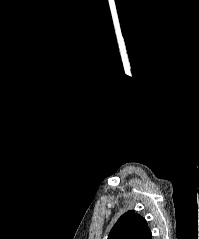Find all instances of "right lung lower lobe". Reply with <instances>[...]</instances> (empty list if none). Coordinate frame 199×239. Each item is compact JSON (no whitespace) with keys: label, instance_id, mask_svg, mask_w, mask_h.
<instances>
[{"label":"right lung lower lobe","instance_id":"obj_1","mask_svg":"<svg viewBox=\"0 0 199 239\" xmlns=\"http://www.w3.org/2000/svg\"><path fill=\"white\" fill-rule=\"evenodd\" d=\"M145 239H152L151 233H149V234L145 237Z\"/></svg>","mask_w":199,"mask_h":239}]
</instances>
